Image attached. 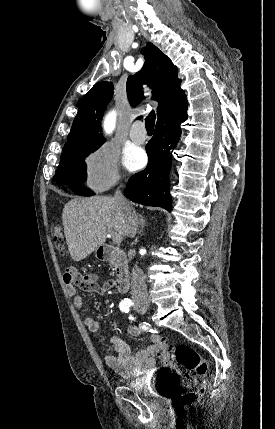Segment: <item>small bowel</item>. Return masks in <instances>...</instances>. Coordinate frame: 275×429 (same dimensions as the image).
Listing matches in <instances>:
<instances>
[{
  "mask_svg": "<svg viewBox=\"0 0 275 429\" xmlns=\"http://www.w3.org/2000/svg\"><path fill=\"white\" fill-rule=\"evenodd\" d=\"M66 271L70 273V277L63 276V279L67 292L72 297L73 305L78 310L84 308V302L77 293V287L84 291L104 294L114 285L112 280L100 282L96 274H80L74 267H69ZM84 324L91 332H98L101 327L99 320L91 316L84 319ZM141 332L142 330L136 326L128 328V334L132 337L139 336ZM162 340V337L152 334L151 343L143 350L132 354L130 346L122 338L111 335L105 362L113 371L124 378L137 377L144 372L153 371L156 369V353Z\"/></svg>",
  "mask_w": 275,
  "mask_h": 429,
  "instance_id": "c3829d8e",
  "label": "small bowel"
}]
</instances>
